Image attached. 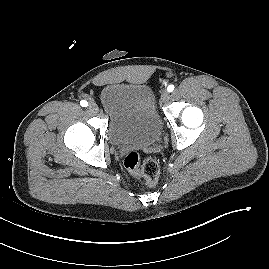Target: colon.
Masks as SVG:
<instances>
[{
    "mask_svg": "<svg viewBox=\"0 0 269 269\" xmlns=\"http://www.w3.org/2000/svg\"><path fill=\"white\" fill-rule=\"evenodd\" d=\"M123 165L129 173L140 177L148 185L155 184L159 177L160 167L157 160L152 157L142 159L137 151L129 152Z\"/></svg>",
    "mask_w": 269,
    "mask_h": 269,
    "instance_id": "colon-1",
    "label": "colon"
}]
</instances>
